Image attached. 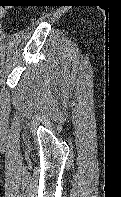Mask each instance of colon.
<instances>
[{"label":"colon","mask_w":121,"mask_h":197,"mask_svg":"<svg viewBox=\"0 0 121 197\" xmlns=\"http://www.w3.org/2000/svg\"><path fill=\"white\" fill-rule=\"evenodd\" d=\"M7 8L5 5H0V17H3L7 11Z\"/></svg>","instance_id":"obj_1"}]
</instances>
